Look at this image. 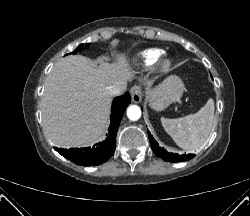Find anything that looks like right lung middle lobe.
Wrapping results in <instances>:
<instances>
[{
  "label": "right lung middle lobe",
  "instance_id": "obj_1",
  "mask_svg": "<svg viewBox=\"0 0 250 216\" xmlns=\"http://www.w3.org/2000/svg\"><path fill=\"white\" fill-rule=\"evenodd\" d=\"M83 47H84V45L81 44V45H80L79 47H77V49H76L74 52H72V53L75 54L78 50H82Z\"/></svg>",
  "mask_w": 250,
  "mask_h": 216
}]
</instances>
